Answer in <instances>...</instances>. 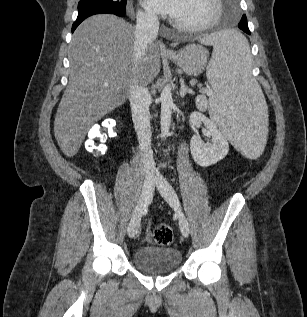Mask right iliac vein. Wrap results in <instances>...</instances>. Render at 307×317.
Listing matches in <instances>:
<instances>
[{
	"label": "right iliac vein",
	"mask_w": 307,
	"mask_h": 317,
	"mask_svg": "<svg viewBox=\"0 0 307 317\" xmlns=\"http://www.w3.org/2000/svg\"><path fill=\"white\" fill-rule=\"evenodd\" d=\"M154 184L155 178L153 176H147L144 179L139 201L128 225V235L131 238L135 237L139 231L143 211L146 208V206L150 203L153 196Z\"/></svg>",
	"instance_id": "63e3f726"
}]
</instances>
